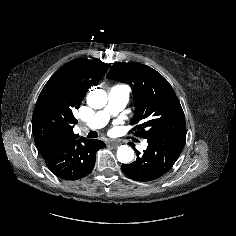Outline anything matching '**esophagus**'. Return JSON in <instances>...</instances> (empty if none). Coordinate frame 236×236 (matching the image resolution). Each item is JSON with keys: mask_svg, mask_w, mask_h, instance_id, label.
I'll use <instances>...</instances> for the list:
<instances>
[{"mask_svg": "<svg viewBox=\"0 0 236 236\" xmlns=\"http://www.w3.org/2000/svg\"><path fill=\"white\" fill-rule=\"evenodd\" d=\"M108 144L113 146V147L119 146V142H117V141H109Z\"/></svg>", "mask_w": 236, "mask_h": 236, "instance_id": "1", "label": "esophagus"}]
</instances>
